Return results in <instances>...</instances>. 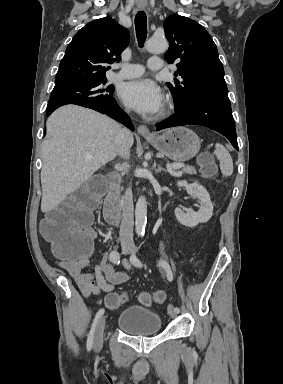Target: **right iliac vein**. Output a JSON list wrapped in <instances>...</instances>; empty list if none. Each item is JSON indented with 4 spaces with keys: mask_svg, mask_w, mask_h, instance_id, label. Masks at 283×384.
<instances>
[{
    "mask_svg": "<svg viewBox=\"0 0 283 384\" xmlns=\"http://www.w3.org/2000/svg\"><path fill=\"white\" fill-rule=\"evenodd\" d=\"M130 251H131L130 247L128 246H124L122 248V253L125 255L129 254ZM105 325H106V316H103L100 318L94 334L93 346L96 352H99L103 346V333H104Z\"/></svg>",
    "mask_w": 283,
    "mask_h": 384,
    "instance_id": "63e3f726",
    "label": "right iliac vein"
}]
</instances>
